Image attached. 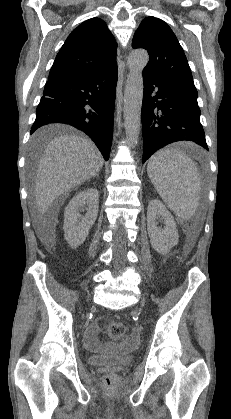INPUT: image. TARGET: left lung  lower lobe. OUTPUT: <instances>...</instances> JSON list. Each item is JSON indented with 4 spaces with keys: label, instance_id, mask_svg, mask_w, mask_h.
<instances>
[{
    "label": "left lung lower lobe",
    "instance_id": "left-lung-lower-lobe-1",
    "mask_svg": "<svg viewBox=\"0 0 231 419\" xmlns=\"http://www.w3.org/2000/svg\"><path fill=\"white\" fill-rule=\"evenodd\" d=\"M143 163L158 149L181 140L208 150L194 85L143 73Z\"/></svg>",
    "mask_w": 231,
    "mask_h": 419
}]
</instances>
